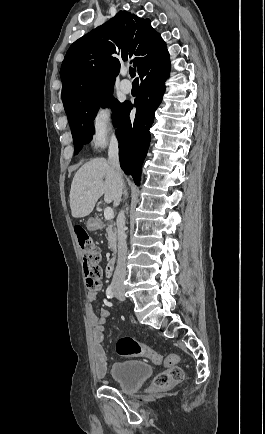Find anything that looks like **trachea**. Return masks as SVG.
I'll use <instances>...</instances> for the list:
<instances>
[{"instance_id":"3493384b","label":"trachea","mask_w":265,"mask_h":434,"mask_svg":"<svg viewBox=\"0 0 265 434\" xmlns=\"http://www.w3.org/2000/svg\"><path fill=\"white\" fill-rule=\"evenodd\" d=\"M131 77H135V70L134 69H130L129 70ZM133 83H138V78H136Z\"/></svg>"}]
</instances>
